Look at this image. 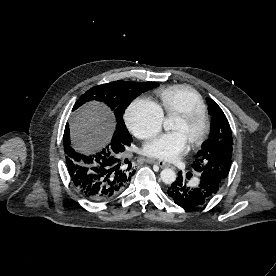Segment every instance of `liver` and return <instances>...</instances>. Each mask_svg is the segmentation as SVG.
Here are the masks:
<instances>
[{
	"label": "liver",
	"instance_id": "6515ba94",
	"mask_svg": "<svg viewBox=\"0 0 276 276\" xmlns=\"http://www.w3.org/2000/svg\"><path fill=\"white\" fill-rule=\"evenodd\" d=\"M114 130L112 112L103 104L90 102L80 107L70 122L74 148L83 153H93L105 146Z\"/></svg>",
	"mask_w": 276,
	"mask_h": 276
}]
</instances>
